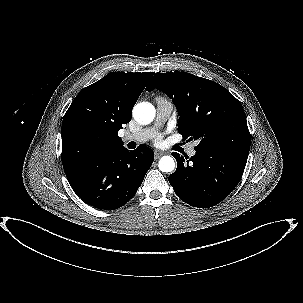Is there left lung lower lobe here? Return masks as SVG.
Masks as SVG:
<instances>
[{
	"label": "left lung lower lobe",
	"instance_id": "left-lung-lower-lobe-1",
	"mask_svg": "<svg viewBox=\"0 0 303 303\" xmlns=\"http://www.w3.org/2000/svg\"><path fill=\"white\" fill-rule=\"evenodd\" d=\"M195 150L196 154L187 161L180 154L172 153L177 169L169 176V182L185 203L199 208L212 207L235 189L249 152L218 148Z\"/></svg>",
	"mask_w": 303,
	"mask_h": 303
}]
</instances>
